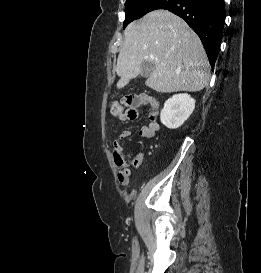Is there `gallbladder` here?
I'll return each mask as SVG.
<instances>
[{"instance_id": "1", "label": "gallbladder", "mask_w": 261, "mask_h": 273, "mask_svg": "<svg viewBox=\"0 0 261 273\" xmlns=\"http://www.w3.org/2000/svg\"><path fill=\"white\" fill-rule=\"evenodd\" d=\"M154 70V64L150 62H143L141 64V77H148Z\"/></svg>"}]
</instances>
